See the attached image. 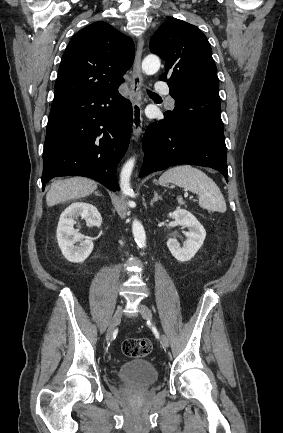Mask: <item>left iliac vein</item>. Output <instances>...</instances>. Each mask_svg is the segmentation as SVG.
<instances>
[{
	"mask_svg": "<svg viewBox=\"0 0 283 433\" xmlns=\"http://www.w3.org/2000/svg\"><path fill=\"white\" fill-rule=\"evenodd\" d=\"M140 314L141 316L151 321L152 320V313L151 310L144 304H140L139 306ZM160 340L163 347H169V339L165 334H160Z\"/></svg>",
	"mask_w": 283,
	"mask_h": 433,
	"instance_id": "left-iliac-vein-1",
	"label": "left iliac vein"
}]
</instances>
